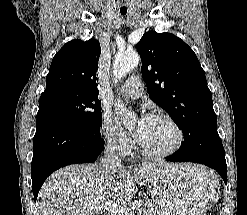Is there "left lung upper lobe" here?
Wrapping results in <instances>:
<instances>
[{"mask_svg":"<svg viewBox=\"0 0 247 215\" xmlns=\"http://www.w3.org/2000/svg\"><path fill=\"white\" fill-rule=\"evenodd\" d=\"M149 97L173 118L184 134L217 132V118L205 72L194 51L171 33L146 32L137 44Z\"/></svg>","mask_w":247,"mask_h":215,"instance_id":"left-lung-upper-lobe-1","label":"left lung upper lobe"}]
</instances>
